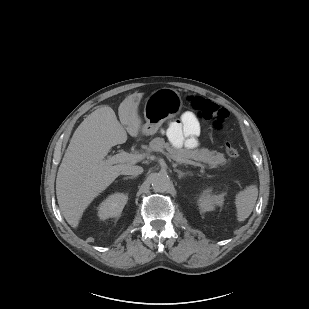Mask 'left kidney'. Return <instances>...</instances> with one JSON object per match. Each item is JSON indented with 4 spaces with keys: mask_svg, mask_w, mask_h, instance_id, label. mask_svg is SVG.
<instances>
[{
    "mask_svg": "<svg viewBox=\"0 0 309 309\" xmlns=\"http://www.w3.org/2000/svg\"><path fill=\"white\" fill-rule=\"evenodd\" d=\"M209 190H205L198 198L197 203L199 209L203 212L213 211L216 205L222 206L224 203V195H211Z\"/></svg>",
    "mask_w": 309,
    "mask_h": 309,
    "instance_id": "5707ae66",
    "label": "left kidney"
}]
</instances>
